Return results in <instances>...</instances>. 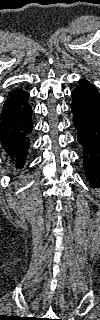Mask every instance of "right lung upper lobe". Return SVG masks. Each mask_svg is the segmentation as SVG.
Masks as SVG:
<instances>
[{
	"mask_svg": "<svg viewBox=\"0 0 100 320\" xmlns=\"http://www.w3.org/2000/svg\"><path fill=\"white\" fill-rule=\"evenodd\" d=\"M19 91H20V89H16V90L10 92L9 94L17 93V92H19Z\"/></svg>",
	"mask_w": 100,
	"mask_h": 320,
	"instance_id": "1",
	"label": "right lung upper lobe"
}]
</instances>
